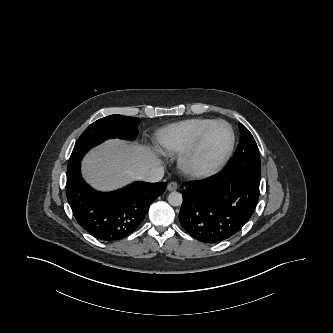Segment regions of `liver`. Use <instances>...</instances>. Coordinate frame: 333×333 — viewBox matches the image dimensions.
<instances>
[{"instance_id":"6515ba94","label":"liver","mask_w":333,"mask_h":333,"mask_svg":"<svg viewBox=\"0 0 333 333\" xmlns=\"http://www.w3.org/2000/svg\"><path fill=\"white\" fill-rule=\"evenodd\" d=\"M83 175L95 188L112 190L159 164L149 148L111 140L83 160Z\"/></svg>"}]
</instances>
